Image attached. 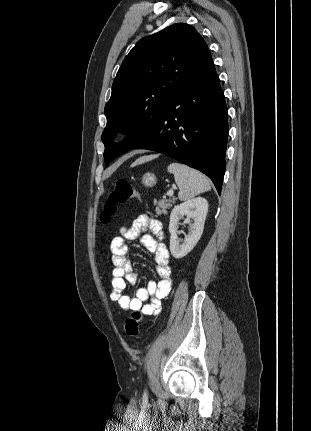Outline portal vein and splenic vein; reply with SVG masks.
Wrapping results in <instances>:
<instances>
[{
  "mask_svg": "<svg viewBox=\"0 0 311 431\" xmlns=\"http://www.w3.org/2000/svg\"><path fill=\"white\" fill-rule=\"evenodd\" d=\"M175 188H171V190H168V196H173Z\"/></svg>",
  "mask_w": 311,
  "mask_h": 431,
  "instance_id": "obj_1",
  "label": "portal vein and splenic vein"
}]
</instances>
